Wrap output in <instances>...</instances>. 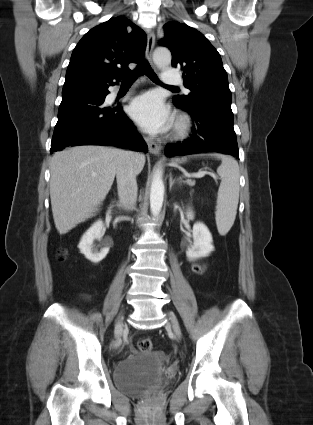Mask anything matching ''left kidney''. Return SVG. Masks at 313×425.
Instances as JSON below:
<instances>
[{
	"label": "left kidney",
	"instance_id": "5707ae66",
	"mask_svg": "<svg viewBox=\"0 0 313 425\" xmlns=\"http://www.w3.org/2000/svg\"><path fill=\"white\" fill-rule=\"evenodd\" d=\"M187 217L189 219L194 218L192 210H187ZM193 244L188 246L186 255L190 258H201L208 256L213 250L212 235L207 226L201 222H197L193 225Z\"/></svg>",
	"mask_w": 313,
	"mask_h": 425
}]
</instances>
